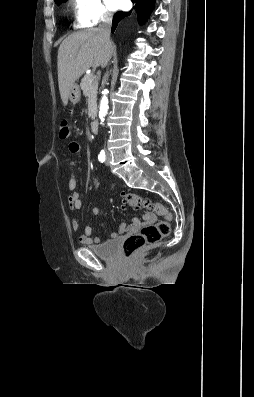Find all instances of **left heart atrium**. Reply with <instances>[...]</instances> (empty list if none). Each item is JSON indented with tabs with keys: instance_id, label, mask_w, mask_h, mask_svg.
I'll use <instances>...</instances> for the list:
<instances>
[{
	"instance_id": "39dd6f15",
	"label": "left heart atrium",
	"mask_w": 254,
	"mask_h": 397,
	"mask_svg": "<svg viewBox=\"0 0 254 397\" xmlns=\"http://www.w3.org/2000/svg\"><path fill=\"white\" fill-rule=\"evenodd\" d=\"M106 3L111 10H116L121 7L122 0H106Z\"/></svg>"
}]
</instances>
